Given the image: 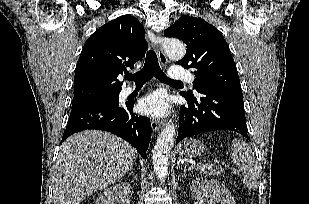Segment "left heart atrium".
I'll use <instances>...</instances> for the list:
<instances>
[{
  "instance_id": "39dd6f15",
  "label": "left heart atrium",
  "mask_w": 309,
  "mask_h": 204,
  "mask_svg": "<svg viewBox=\"0 0 309 204\" xmlns=\"http://www.w3.org/2000/svg\"><path fill=\"white\" fill-rule=\"evenodd\" d=\"M141 113L153 117H163L170 110L168 97L162 92H155L143 98L139 104Z\"/></svg>"
}]
</instances>
